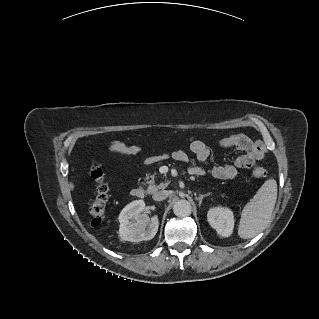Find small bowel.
Here are the masks:
<instances>
[{
	"label": "small bowel",
	"instance_id": "1",
	"mask_svg": "<svg viewBox=\"0 0 319 319\" xmlns=\"http://www.w3.org/2000/svg\"><path fill=\"white\" fill-rule=\"evenodd\" d=\"M224 148H237L244 153L236 158L234 163L226 164L224 166H214L211 169L212 175L219 180H232L238 176L239 169H251L256 161L264 157L263 146L246 135L234 134L230 135L220 142ZM107 151L114 154H125L129 156L141 155L142 150L135 145L126 144L123 142H112L107 146ZM190 151L195 155L200 164L193 166L190 169L192 175H200L204 168L201 163L206 162L210 157V150L208 146L199 140H195L190 144ZM173 159L178 162L187 163L190 158L183 150H175L172 153ZM155 160V157H149Z\"/></svg>",
	"mask_w": 319,
	"mask_h": 319
}]
</instances>
